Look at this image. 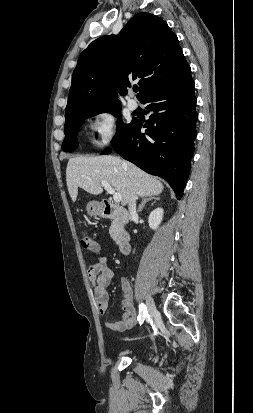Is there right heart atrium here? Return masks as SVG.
Masks as SVG:
<instances>
[{
  "instance_id": "1",
  "label": "right heart atrium",
  "mask_w": 253,
  "mask_h": 413,
  "mask_svg": "<svg viewBox=\"0 0 253 413\" xmlns=\"http://www.w3.org/2000/svg\"><path fill=\"white\" fill-rule=\"evenodd\" d=\"M89 126L93 133L92 144L96 148H104L115 137L117 129L116 115L108 108L98 110L91 116Z\"/></svg>"
}]
</instances>
